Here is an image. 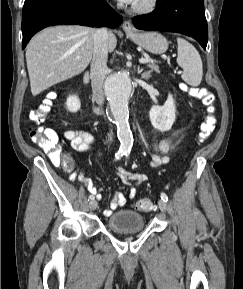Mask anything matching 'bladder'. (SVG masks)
I'll return each mask as SVG.
<instances>
[{
    "instance_id": "1",
    "label": "bladder",
    "mask_w": 243,
    "mask_h": 289,
    "mask_svg": "<svg viewBox=\"0 0 243 289\" xmlns=\"http://www.w3.org/2000/svg\"><path fill=\"white\" fill-rule=\"evenodd\" d=\"M107 227L116 233L137 232L145 228V219L138 212L120 210L107 218Z\"/></svg>"
}]
</instances>
